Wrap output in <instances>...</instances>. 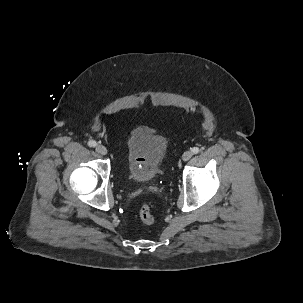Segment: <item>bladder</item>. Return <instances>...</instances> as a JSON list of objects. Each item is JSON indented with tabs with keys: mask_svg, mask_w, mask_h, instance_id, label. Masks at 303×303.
<instances>
[{
	"mask_svg": "<svg viewBox=\"0 0 303 303\" xmlns=\"http://www.w3.org/2000/svg\"><path fill=\"white\" fill-rule=\"evenodd\" d=\"M169 148L168 139L147 127L134 128L126 142V167L137 183L152 181L159 173Z\"/></svg>",
	"mask_w": 303,
	"mask_h": 303,
	"instance_id": "obj_1",
	"label": "bladder"
}]
</instances>
